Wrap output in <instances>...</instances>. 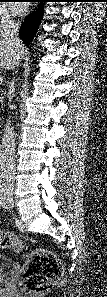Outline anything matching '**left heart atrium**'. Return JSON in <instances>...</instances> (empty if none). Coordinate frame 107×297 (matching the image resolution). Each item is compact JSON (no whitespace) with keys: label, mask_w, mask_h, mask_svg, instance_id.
Returning <instances> with one entry per match:
<instances>
[{"label":"left heart atrium","mask_w":107,"mask_h":297,"mask_svg":"<svg viewBox=\"0 0 107 297\" xmlns=\"http://www.w3.org/2000/svg\"><path fill=\"white\" fill-rule=\"evenodd\" d=\"M8 9L13 14H22L25 11L26 6L23 3H9Z\"/></svg>","instance_id":"39dd6f15"}]
</instances>
